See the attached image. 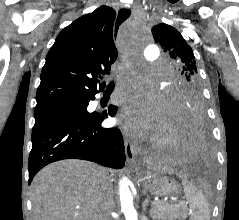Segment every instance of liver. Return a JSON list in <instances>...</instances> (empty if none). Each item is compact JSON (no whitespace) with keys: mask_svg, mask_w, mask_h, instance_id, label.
I'll return each mask as SVG.
<instances>
[{"mask_svg":"<svg viewBox=\"0 0 239 220\" xmlns=\"http://www.w3.org/2000/svg\"><path fill=\"white\" fill-rule=\"evenodd\" d=\"M108 172L104 167L76 159L44 167L31 184L35 220H98Z\"/></svg>","mask_w":239,"mask_h":220,"instance_id":"6515ba94","label":"liver"}]
</instances>
